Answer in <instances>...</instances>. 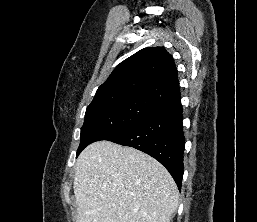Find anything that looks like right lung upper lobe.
<instances>
[{"instance_id":"right-lung-upper-lobe-1","label":"right lung upper lobe","mask_w":257,"mask_h":222,"mask_svg":"<svg viewBox=\"0 0 257 222\" xmlns=\"http://www.w3.org/2000/svg\"><path fill=\"white\" fill-rule=\"evenodd\" d=\"M144 98L160 106L180 98L177 69L163 47L144 48L121 62L93 100Z\"/></svg>"}]
</instances>
